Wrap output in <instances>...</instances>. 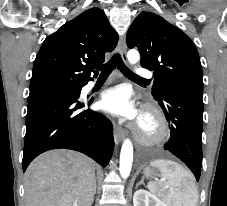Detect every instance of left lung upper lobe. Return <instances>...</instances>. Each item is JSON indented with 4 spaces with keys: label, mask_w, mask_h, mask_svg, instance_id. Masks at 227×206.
Returning a JSON list of instances; mask_svg holds the SVG:
<instances>
[{
    "label": "left lung upper lobe",
    "mask_w": 227,
    "mask_h": 206,
    "mask_svg": "<svg viewBox=\"0 0 227 206\" xmlns=\"http://www.w3.org/2000/svg\"><path fill=\"white\" fill-rule=\"evenodd\" d=\"M126 42L129 48H138L141 66L154 70V98L160 100L171 91L203 94L199 54L179 28L157 14L142 12L131 24Z\"/></svg>",
    "instance_id": "1"
}]
</instances>
